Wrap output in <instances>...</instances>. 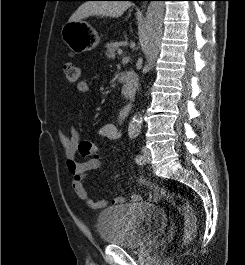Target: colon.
<instances>
[{
	"label": "colon",
	"mask_w": 245,
	"mask_h": 265,
	"mask_svg": "<svg viewBox=\"0 0 245 265\" xmlns=\"http://www.w3.org/2000/svg\"><path fill=\"white\" fill-rule=\"evenodd\" d=\"M63 68L66 80L71 84L77 83L79 80L78 67L72 62H67L64 64ZM77 150L81 157L96 158L98 155L97 146L87 140L81 141L78 144ZM139 182L157 193L160 198L164 199L173 208L182 213L184 217L182 246L188 245L194 238L197 229L196 216L188 201L182 195L172 192L164 187H159L144 178H139Z\"/></svg>",
	"instance_id": "obj_1"
}]
</instances>
